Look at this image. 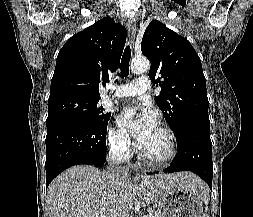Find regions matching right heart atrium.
Listing matches in <instances>:
<instances>
[{
	"mask_svg": "<svg viewBox=\"0 0 253 217\" xmlns=\"http://www.w3.org/2000/svg\"><path fill=\"white\" fill-rule=\"evenodd\" d=\"M108 142L112 151L121 159H126L132 149L129 134L122 128L113 126L108 131Z\"/></svg>",
	"mask_w": 253,
	"mask_h": 217,
	"instance_id": "d8ad5b80",
	"label": "right heart atrium"
}]
</instances>
